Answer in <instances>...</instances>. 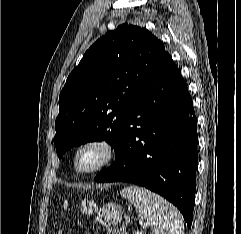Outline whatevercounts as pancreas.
<instances>
[{"label": "pancreas", "mask_w": 241, "mask_h": 234, "mask_svg": "<svg viewBox=\"0 0 241 234\" xmlns=\"http://www.w3.org/2000/svg\"><path fill=\"white\" fill-rule=\"evenodd\" d=\"M111 234H127V233L122 229H117V230H114Z\"/></svg>", "instance_id": "1"}]
</instances>
